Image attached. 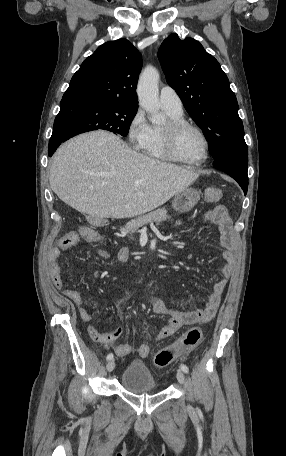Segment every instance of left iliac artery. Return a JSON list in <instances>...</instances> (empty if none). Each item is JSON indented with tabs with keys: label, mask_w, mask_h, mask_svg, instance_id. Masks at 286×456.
<instances>
[{
	"label": "left iliac artery",
	"mask_w": 286,
	"mask_h": 456,
	"mask_svg": "<svg viewBox=\"0 0 286 456\" xmlns=\"http://www.w3.org/2000/svg\"><path fill=\"white\" fill-rule=\"evenodd\" d=\"M180 368H181V370L184 373H188L189 372V368L185 364H181Z\"/></svg>",
	"instance_id": "obj_1"
}]
</instances>
